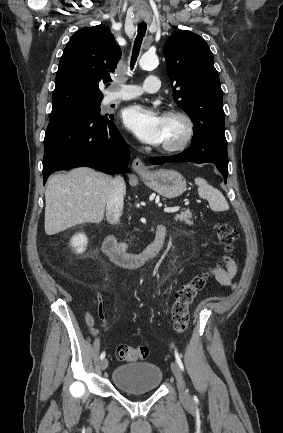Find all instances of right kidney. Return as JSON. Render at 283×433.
I'll use <instances>...</instances> for the list:
<instances>
[{
	"mask_svg": "<svg viewBox=\"0 0 283 433\" xmlns=\"http://www.w3.org/2000/svg\"><path fill=\"white\" fill-rule=\"evenodd\" d=\"M87 243L88 239L83 233H78L71 239V246L75 249L77 254H82L85 251Z\"/></svg>",
	"mask_w": 283,
	"mask_h": 433,
	"instance_id": "obj_1",
	"label": "right kidney"
}]
</instances>
